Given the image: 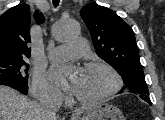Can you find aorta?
<instances>
[{"label":"aorta","instance_id":"1","mask_svg":"<svg viewBox=\"0 0 165 120\" xmlns=\"http://www.w3.org/2000/svg\"><path fill=\"white\" fill-rule=\"evenodd\" d=\"M79 34V24L75 20H67L63 22L55 30V38L58 40H64L76 36Z\"/></svg>","mask_w":165,"mask_h":120}]
</instances>
